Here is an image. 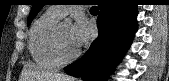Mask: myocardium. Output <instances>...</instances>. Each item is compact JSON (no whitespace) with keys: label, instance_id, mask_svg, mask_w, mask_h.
I'll return each instance as SVG.
<instances>
[{"label":"myocardium","instance_id":"myocardium-1","mask_svg":"<svg viewBox=\"0 0 169 81\" xmlns=\"http://www.w3.org/2000/svg\"><path fill=\"white\" fill-rule=\"evenodd\" d=\"M53 51H54L56 58L58 59V61L61 64L71 62L72 60H74L79 55V51L77 49H75L70 54H65L63 52L61 44H60V25H57L55 30H54Z\"/></svg>","mask_w":169,"mask_h":81}]
</instances>
